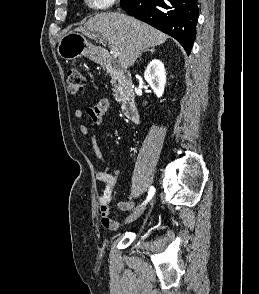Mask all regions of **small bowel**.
I'll return each mask as SVG.
<instances>
[{"label":"small bowel","instance_id":"obj_1","mask_svg":"<svg viewBox=\"0 0 259 294\" xmlns=\"http://www.w3.org/2000/svg\"><path fill=\"white\" fill-rule=\"evenodd\" d=\"M109 108V101L106 98L98 99L91 107L87 109V114L96 126H101L103 123V117ZM83 111L76 109L74 116L76 119L83 117ZM80 131L82 134L89 136L93 151L97 158L100 160L101 170L96 174L97 180L101 182L100 195H99V209L100 220L102 225L109 230H116L120 226V222L113 220L110 217V203L118 182L120 172L113 170L111 165L106 161L97 141L95 134H90L88 128L85 125H80ZM134 202L130 199L120 201L118 208L126 211L132 208Z\"/></svg>","mask_w":259,"mask_h":294}]
</instances>
